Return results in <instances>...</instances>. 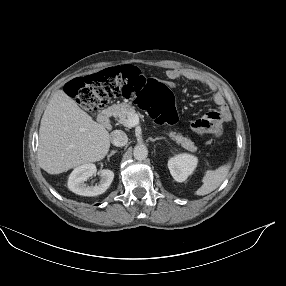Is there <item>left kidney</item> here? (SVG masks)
Wrapping results in <instances>:
<instances>
[{"mask_svg":"<svg viewBox=\"0 0 286 286\" xmlns=\"http://www.w3.org/2000/svg\"><path fill=\"white\" fill-rule=\"evenodd\" d=\"M197 163V157L183 153L170 158L168 168L175 181L184 182L193 173Z\"/></svg>","mask_w":286,"mask_h":286,"instance_id":"obj_1","label":"left kidney"}]
</instances>
